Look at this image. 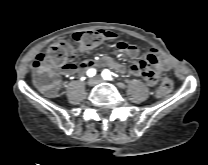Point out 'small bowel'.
I'll return each instance as SVG.
<instances>
[{"label": "small bowel", "mask_w": 208, "mask_h": 165, "mask_svg": "<svg viewBox=\"0 0 208 165\" xmlns=\"http://www.w3.org/2000/svg\"><path fill=\"white\" fill-rule=\"evenodd\" d=\"M102 39L114 40L117 34L112 30H99L97 31ZM115 49L119 52H123L131 58H136L139 55V49L132 43L120 41L115 45ZM103 64L120 73H125L126 68L119 62L114 61L109 57L103 59ZM96 65V60L93 57L83 58L79 63L68 61L62 63L59 70L62 74H79L83 69L93 68ZM170 67V61L166 58H162L158 55L156 50L148 51L144 59L133 63L129 72L135 76L143 78L148 84L153 85L157 82L158 73L165 71Z\"/></svg>", "instance_id": "1"}]
</instances>
